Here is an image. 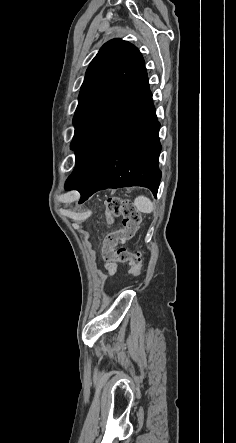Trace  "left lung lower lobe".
<instances>
[{
    "label": "left lung lower lobe",
    "mask_w": 236,
    "mask_h": 443,
    "mask_svg": "<svg viewBox=\"0 0 236 443\" xmlns=\"http://www.w3.org/2000/svg\"><path fill=\"white\" fill-rule=\"evenodd\" d=\"M159 127L144 67L76 145V166L65 188L80 192L79 203L96 191L128 186L147 187L156 196Z\"/></svg>",
    "instance_id": "0a47b994"
}]
</instances>
